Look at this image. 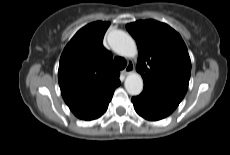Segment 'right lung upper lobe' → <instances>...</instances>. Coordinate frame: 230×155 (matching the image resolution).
<instances>
[{"label": "right lung upper lobe", "mask_w": 230, "mask_h": 155, "mask_svg": "<svg viewBox=\"0 0 230 155\" xmlns=\"http://www.w3.org/2000/svg\"><path fill=\"white\" fill-rule=\"evenodd\" d=\"M109 22L97 21L80 29L60 58L58 80L70 110L80 119L91 118L108 107L120 85L111 52L102 44Z\"/></svg>", "instance_id": "cb5924a9"}]
</instances>
